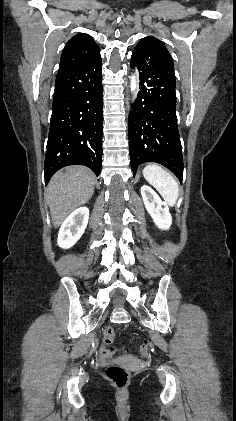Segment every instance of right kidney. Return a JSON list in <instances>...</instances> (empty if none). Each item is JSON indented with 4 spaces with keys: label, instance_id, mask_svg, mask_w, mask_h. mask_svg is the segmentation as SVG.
<instances>
[{
    "label": "right kidney",
    "instance_id": "obj_1",
    "mask_svg": "<svg viewBox=\"0 0 236 421\" xmlns=\"http://www.w3.org/2000/svg\"><path fill=\"white\" fill-rule=\"evenodd\" d=\"M89 219V208L87 206H79L73 211L67 219H65L58 233L57 243L62 249L73 247L80 237H82Z\"/></svg>",
    "mask_w": 236,
    "mask_h": 421
}]
</instances>
